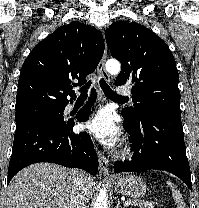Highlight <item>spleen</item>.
Returning <instances> with one entry per match:
<instances>
[{
	"label": "spleen",
	"instance_id": "1",
	"mask_svg": "<svg viewBox=\"0 0 199 208\" xmlns=\"http://www.w3.org/2000/svg\"><path fill=\"white\" fill-rule=\"evenodd\" d=\"M167 184L172 190V195L175 202L177 203V208H186L185 203L182 201V196L177 188L171 182H167Z\"/></svg>",
	"mask_w": 199,
	"mask_h": 208
}]
</instances>
